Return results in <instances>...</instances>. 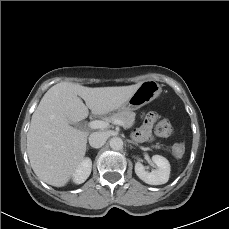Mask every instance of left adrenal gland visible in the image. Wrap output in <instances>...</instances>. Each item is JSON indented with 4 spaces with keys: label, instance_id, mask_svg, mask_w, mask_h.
Segmentation results:
<instances>
[{
    "label": "left adrenal gland",
    "instance_id": "a2214340",
    "mask_svg": "<svg viewBox=\"0 0 229 229\" xmlns=\"http://www.w3.org/2000/svg\"><path fill=\"white\" fill-rule=\"evenodd\" d=\"M128 143H132L134 145H138L136 142L132 141V140H127Z\"/></svg>",
    "mask_w": 229,
    "mask_h": 229
}]
</instances>
